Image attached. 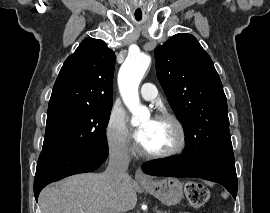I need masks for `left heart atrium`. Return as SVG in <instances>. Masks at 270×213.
<instances>
[{
    "mask_svg": "<svg viewBox=\"0 0 270 213\" xmlns=\"http://www.w3.org/2000/svg\"><path fill=\"white\" fill-rule=\"evenodd\" d=\"M149 127H150V124L143 126L135 131L134 138L136 142L139 143L140 145H143V143L145 142L148 132H149Z\"/></svg>",
    "mask_w": 270,
    "mask_h": 213,
    "instance_id": "39dd6f15",
    "label": "left heart atrium"
}]
</instances>
